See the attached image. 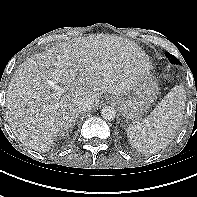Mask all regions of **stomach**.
<instances>
[{
	"mask_svg": "<svg viewBox=\"0 0 197 197\" xmlns=\"http://www.w3.org/2000/svg\"><path fill=\"white\" fill-rule=\"evenodd\" d=\"M158 86L151 74L146 71L134 89L125 96L112 97L126 121H136L150 110L157 99Z\"/></svg>",
	"mask_w": 197,
	"mask_h": 197,
	"instance_id": "1",
	"label": "stomach"
}]
</instances>
